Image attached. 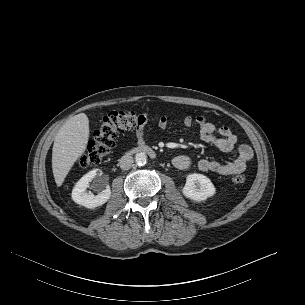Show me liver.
Segmentation results:
<instances>
[{"mask_svg": "<svg viewBox=\"0 0 305 305\" xmlns=\"http://www.w3.org/2000/svg\"><path fill=\"white\" fill-rule=\"evenodd\" d=\"M89 135V119L85 113L71 117L57 132L52 149V171L58 187L85 152Z\"/></svg>", "mask_w": 305, "mask_h": 305, "instance_id": "obj_1", "label": "liver"}]
</instances>
